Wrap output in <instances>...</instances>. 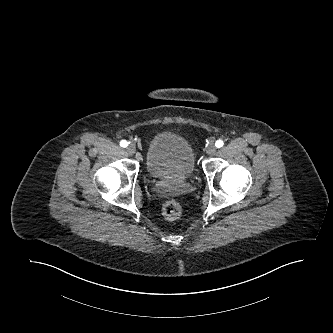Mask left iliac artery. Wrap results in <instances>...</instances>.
<instances>
[{
	"instance_id": "44dca946",
	"label": "left iliac artery",
	"mask_w": 333,
	"mask_h": 333,
	"mask_svg": "<svg viewBox=\"0 0 333 333\" xmlns=\"http://www.w3.org/2000/svg\"><path fill=\"white\" fill-rule=\"evenodd\" d=\"M223 145H224V142L220 139L215 142V146L217 148H221Z\"/></svg>"
}]
</instances>
